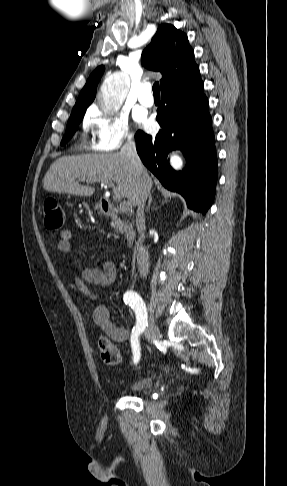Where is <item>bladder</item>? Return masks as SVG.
<instances>
[{
  "label": "bladder",
  "instance_id": "31cf9c89",
  "mask_svg": "<svg viewBox=\"0 0 287 486\" xmlns=\"http://www.w3.org/2000/svg\"><path fill=\"white\" fill-rule=\"evenodd\" d=\"M153 384L152 377H142L133 382L125 384L123 387L129 392H142L148 390Z\"/></svg>",
  "mask_w": 287,
  "mask_h": 486
}]
</instances>
